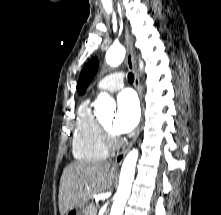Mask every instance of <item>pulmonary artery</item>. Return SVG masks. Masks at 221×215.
I'll return each instance as SVG.
<instances>
[{"mask_svg":"<svg viewBox=\"0 0 221 215\" xmlns=\"http://www.w3.org/2000/svg\"><path fill=\"white\" fill-rule=\"evenodd\" d=\"M124 86V76L121 72H114L103 77L97 85L99 91L114 92Z\"/></svg>","mask_w":221,"mask_h":215,"instance_id":"e3ab8cb5","label":"pulmonary artery"}]
</instances>
